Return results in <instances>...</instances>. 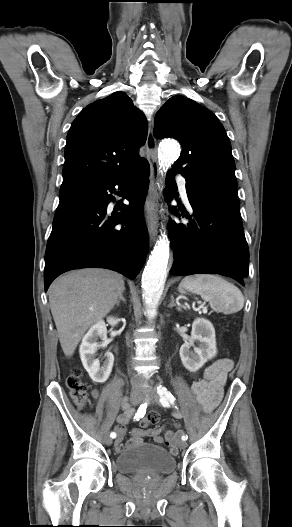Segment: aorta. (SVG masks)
Returning a JSON list of instances; mask_svg holds the SVG:
<instances>
[{
    "mask_svg": "<svg viewBox=\"0 0 292 527\" xmlns=\"http://www.w3.org/2000/svg\"><path fill=\"white\" fill-rule=\"evenodd\" d=\"M163 166H169L180 155V146L175 141H164L159 148ZM169 259V242L163 238L155 245L142 274L143 299L149 311V318L156 314V307L162 295Z\"/></svg>",
    "mask_w": 292,
    "mask_h": 527,
    "instance_id": "aorta-1",
    "label": "aorta"
}]
</instances>
